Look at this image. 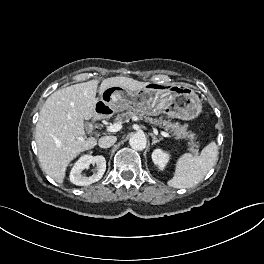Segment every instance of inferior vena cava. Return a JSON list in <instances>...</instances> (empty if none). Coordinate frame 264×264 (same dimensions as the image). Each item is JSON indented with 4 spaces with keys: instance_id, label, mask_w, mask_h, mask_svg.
Wrapping results in <instances>:
<instances>
[{
    "instance_id": "obj_1",
    "label": "inferior vena cava",
    "mask_w": 264,
    "mask_h": 264,
    "mask_svg": "<svg viewBox=\"0 0 264 264\" xmlns=\"http://www.w3.org/2000/svg\"><path fill=\"white\" fill-rule=\"evenodd\" d=\"M117 141L115 136H104L101 137L98 141V145L101 148H109Z\"/></svg>"
}]
</instances>
